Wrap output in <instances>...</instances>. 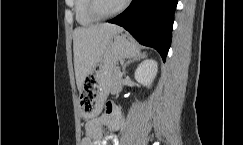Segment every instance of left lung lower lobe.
Returning <instances> with one entry per match:
<instances>
[{"label": "left lung lower lobe", "mask_w": 243, "mask_h": 145, "mask_svg": "<svg viewBox=\"0 0 243 145\" xmlns=\"http://www.w3.org/2000/svg\"><path fill=\"white\" fill-rule=\"evenodd\" d=\"M177 0H132L110 23L125 28L141 44L155 48L163 61L170 48Z\"/></svg>", "instance_id": "left-lung-lower-lobe-1"}]
</instances>
